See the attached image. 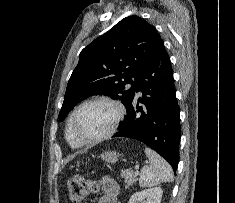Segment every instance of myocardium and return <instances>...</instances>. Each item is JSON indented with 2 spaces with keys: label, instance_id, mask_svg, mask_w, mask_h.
Wrapping results in <instances>:
<instances>
[{
  "label": "myocardium",
  "instance_id": "f54148a6",
  "mask_svg": "<svg viewBox=\"0 0 235 203\" xmlns=\"http://www.w3.org/2000/svg\"><path fill=\"white\" fill-rule=\"evenodd\" d=\"M96 102H106V103L113 105L116 109V117H115V120H114L112 126L110 127V129L106 133H104L103 135H101L99 137H96L93 139H88V138L83 137L79 133V131L77 129V119H78L79 113L81 112V110L85 106L92 104V103H96ZM125 113H126L125 107L119 100L114 99L112 97H108V96L93 97V98L81 103L74 111V113L72 115V121H71L72 131H73L75 137L83 144L99 143L101 141H104V140L110 138L112 135H114L117 132L120 124L122 123V121L125 117Z\"/></svg>",
  "mask_w": 235,
  "mask_h": 203
}]
</instances>
